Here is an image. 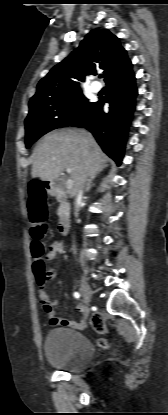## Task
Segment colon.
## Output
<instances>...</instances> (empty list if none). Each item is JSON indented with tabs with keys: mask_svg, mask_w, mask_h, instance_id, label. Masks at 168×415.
Listing matches in <instances>:
<instances>
[{
	"mask_svg": "<svg viewBox=\"0 0 168 415\" xmlns=\"http://www.w3.org/2000/svg\"><path fill=\"white\" fill-rule=\"evenodd\" d=\"M28 212L30 219V235L32 238L31 253L34 258L33 270L40 285L49 279L46 271V259L44 257L45 247L42 239L47 233L45 219L47 215L45 197L40 185H31L29 188ZM93 329L101 334H108L109 330L104 316L94 313L91 318ZM101 348H108L110 342L102 338L98 341Z\"/></svg>",
	"mask_w": 168,
	"mask_h": 415,
	"instance_id": "colon-1",
	"label": "colon"
}]
</instances>
